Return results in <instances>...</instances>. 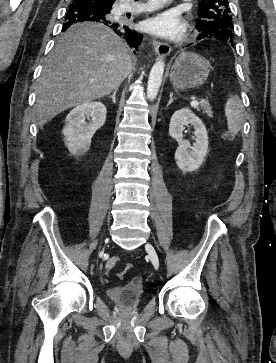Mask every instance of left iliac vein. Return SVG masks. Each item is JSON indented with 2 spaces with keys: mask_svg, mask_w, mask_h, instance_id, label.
Wrapping results in <instances>:
<instances>
[{
  "mask_svg": "<svg viewBox=\"0 0 276 363\" xmlns=\"http://www.w3.org/2000/svg\"><path fill=\"white\" fill-rule=\"evenodd\" d=\"M146 250H147V253L150 257V260L152 262V264L154 265V267L156 269H158L159 267V258H158V255L154 249V247L150 244V243H147L146 244Z\"/></svg>",
  "mask_w": 276,
  "mask_h": 363,
  "instance_id": "4c4485c4",
  "label": "left iliac vein"
}]
</instances>
